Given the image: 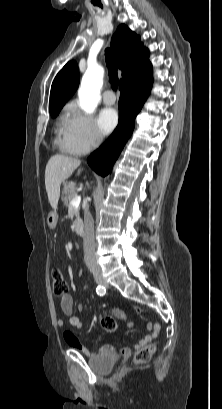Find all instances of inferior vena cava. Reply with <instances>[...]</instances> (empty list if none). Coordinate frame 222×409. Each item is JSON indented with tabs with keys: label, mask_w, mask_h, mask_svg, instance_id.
I'll return each mask as SVG.
<instances>
[{
	"label": "inferior vena cava",
	"mask_w": 222,
	"mask_h": 409,
	"mask_svg": "<svg viewBox=\"0 0 222 409\" xmlns=\"http://www.w3.org/2000/svg\"><path fill=\"white\" fill-rule=\"evenodd\" d=\"M102 140L101 134L96 135V142L99 143ZM84 225L85 232L83 237V248H84V261L88 269L92 272L99 270L97 259L95 256L96 243L94 237V221L89 208L84 210Z\"/></svg>",
	"instance_id": "1"
}]
</instances>
